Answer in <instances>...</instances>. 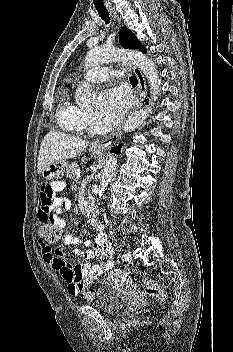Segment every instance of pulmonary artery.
Here are the masks:
<instances>
[{
	"label": "pulmonary artery",
	"mask_w": 233,
	"mask_h": 352,
	"mask_svg": "<svg viewBox=\"0 0 233 352\" xmlns=\"http://www.w3.org/2000/svg\"><path fill=\"white\" fill-rule=\"evenodd\" d=\"M115 75L114 71H112L110 68L99 66L90 69L86 74H85V79L89 82H104L111 77Z\"/></svg>",
	"instance_id": "pulmonary-artery-1"
}]
</instances>
